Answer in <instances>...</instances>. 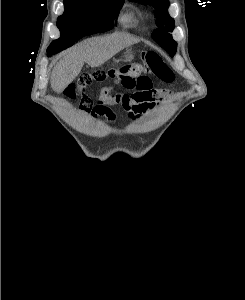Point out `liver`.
<instances>
[{
  "instance_id": "1",
  "label": "liver",
  "mask_w": 245,
  "mask_h": 300,
  "mask_svg": "<svg viewBox=\"0 0 245 300\" xmlns=\"http://www.w3.org/2000/svg\"><path fill=\"white\" fill-rule=\"evenodd\" d=\"M137 41L134 37L121 33L84 41L65 53L54 66L51 73L52 89L61 93L78 76L84 63L98 67Z\"/></svg>"
}]
</instances>
